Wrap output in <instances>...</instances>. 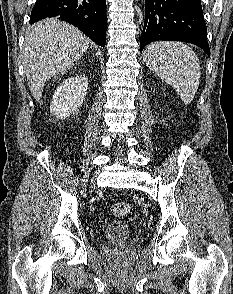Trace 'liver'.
<instances>
[{"label": "liver", "mask_w": 233, "mask_h": 294, "mask_svg": "<svg viewBox=\"0 0 233 294\" xmlns=\"http://www.w3.org/2000/svg\"><path fill=\"white\" fill-rule=\"evenodd\" d=\"M89 44L90 40L68 23L45 19L33 25L25 39L24 67L36 101L41 99L45 83L77 62Z\"/></svg>", "instance_id": "1"}]
</instances>
